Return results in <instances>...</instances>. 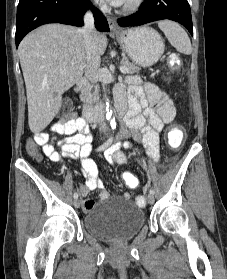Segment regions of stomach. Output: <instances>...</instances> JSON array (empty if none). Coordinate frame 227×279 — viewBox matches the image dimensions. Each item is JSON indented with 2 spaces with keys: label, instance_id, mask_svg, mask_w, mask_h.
<instances>
[{
  "label": "stomach",
  "instance_id": "1",
  "mask_svg": "<svg viewBox=\"0 0 227 279\" xmlns=\"http://www.w3.org/2000/svg\"><path fill=\"white\" fill-rule=\"evenodd\" d=\"M116 39L129 58L138 66L155 64L164 52V41L150 27H137L120 31Z\"/></svg>",
  "mask_w": 227,
  "mask_h": 279
}]
</instances>
